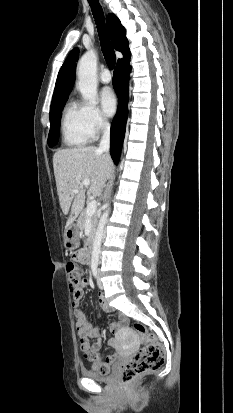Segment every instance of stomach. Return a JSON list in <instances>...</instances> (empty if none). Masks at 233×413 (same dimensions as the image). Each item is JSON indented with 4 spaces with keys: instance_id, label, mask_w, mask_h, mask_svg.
<instances>
[{
    "instance_id": "stomach-1",
    "label": "stomach",
    "mask_w": 233,
    "mask_h": 413,
    "mask_svg": "<svg viewBox=\"0 0 233 413\" xmlns=\"http://www.w3.org/2000/svg\"><path fill=\"white\" fill-rule=\"evenodd\" d=\"M80 229L77 224H71L64 233V246L72 250L77 247Z\"/></svg>"
}]
</instances>
